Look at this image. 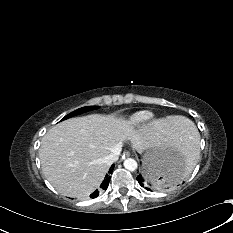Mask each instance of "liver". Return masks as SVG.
I'll return each instance as SVG.
<instances>
[{"instance_id": "obj_1", "label": "liver", "mask_w": 233, "mask_h": 233, "mask_svg": "<svg viewBox=\"0 0 233 233\" xmlns=\"http://www.w3.org/2000/svg\"><path fill=\"white\" fill-rule=\"evenodd\" d=\"M185 118L168 112L135 129L132 121L93 114L53 126L41 140L43 174L62 195L84 198L99 187L108 172L105 157L125 140L142 153L150 145L170 144Z\"/></svg>"}]
</instances>
